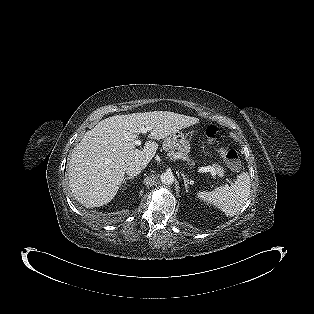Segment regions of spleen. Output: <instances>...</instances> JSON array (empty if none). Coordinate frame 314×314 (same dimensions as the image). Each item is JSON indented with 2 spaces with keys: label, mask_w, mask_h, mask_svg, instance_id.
<instances>
[{
  "label": "spleen",
  "mask_w": 314,
  "mask_h": 314,
  "mask_svg": "<svg viewBox=\"0 0 314 314\" xmlns=\"http://www.w3.org/2000/svg\"><path fill=\"white\" fill-rule=\"evenodd\" d=\"M250 176L243 172L237 176L235 183L220 186L213 191H199L197 197L206 203L215 205L226 216H234L240 212L247 202L251 190Z\"/></svg>",
  "instance_id": "spleen-1"
}]
</instances>
